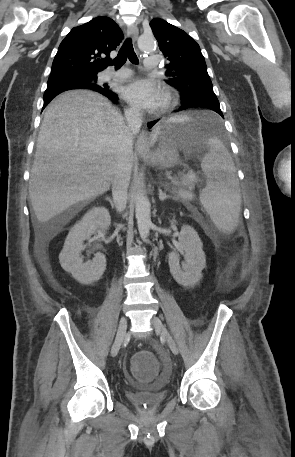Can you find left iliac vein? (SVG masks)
<instances>
[{"instance_id": "1", "label": "left iliac vein", "mask_w": 295, "mask_h": 457, "mask_svg": "<svg viewBox=\"0 0 295 457\" xmlns=\"http://www.w3.org/2000/svg\"><path fill=\"white\" fill-rule=\"evenodd\" d=\"M151 322H152V325H153V327L155 328V330H156L157 332H159V333L163 336V338H164L165 341L167 342V344H168L170 350H171L175 355H177L178 352H179V351H178V347H177L175 341L173 340V338L171 337V335L169 334V332L167 331L166 327H165L164 324L162 323V321H161L158 317L154 316V317L152 318V321H151Z\"/></svg>"}]
</instances>
